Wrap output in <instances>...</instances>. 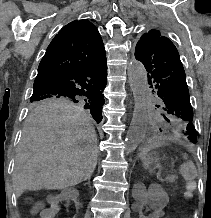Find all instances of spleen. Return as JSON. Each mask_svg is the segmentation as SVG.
<instances>
[{
	"instance_id": "spleen-1",
	"label": "spleen",
	"mask_w": 211,
	"mask_h": 218,
	"mask_svg": "<svg viewBox=\"0 0 211 218\" xmlns=\"http://www.w3.org/2000/svg\"><path fill=\"white\" fill-rule=\"evenodd\" d=\"M140 158L143 162H145L146 152H142V154H140ZM180 174H182L184 180H194L196 176V168L193 162H185V164H182V166H180Z\"/></svg>"
}]
</instances>
